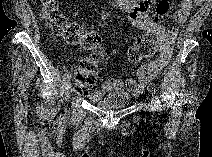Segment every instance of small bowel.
Instances as JSON below:
<instances>
[{"instance_id":"obj_1","label":"small bowel","mask_w":212,"mask_h":157,"mask_svg":"<svg viewBox=\"0 0 212 157\" xmlns=\"http://www.w3.org/2000/svg\"><path fill=\"white\" fill-rule=\"evenodd\" d=\"M195 1L182 0L178 10L175 12L174 21L177 25H184ZM117 5L120 9L126 11L129 15L131 24L139 29L147 31L151 28H157L165 34L161 45V52L157 59L142 65L137 71V78L126 77L125 79L109 78L104 81L100 90L90 95L91 100L98 99L104 93L112 92H130L133 95L140 94L144 89L153 83L159 73L165 68L171 59L173 45L178 34L175 26L169 27L166 31L162 25L156 24L149 15L150 1L137 0H118Z\"/></svg>"}]
</instances>
